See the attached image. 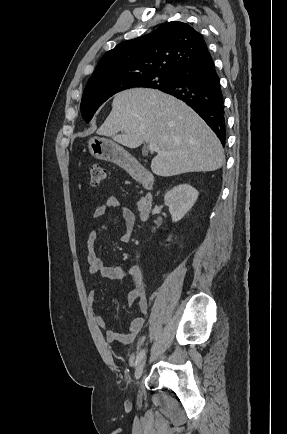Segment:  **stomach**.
Returning <instances> with one entry per match:
<instances>
[{
	"mask_svg": "<svg viewBox=\"0 0 287 434\" xmlns=\"http://www.w3.org/2000/svg\"><path fill=\"white\" fill-rule=\"evenodd\" d=\"M88 149L96 159L109 161L124 168H128L132 162V157L127 151L104 138L91 137L88 140Z\"/></svg>",
	"mask_w": 287,
	"mask_h": 434,
	"instance_id": "0dacf381",
	"label": "stomach"
}]
</instances>
